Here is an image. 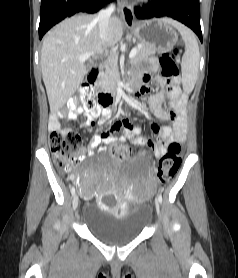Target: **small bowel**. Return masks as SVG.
Segmentation results:
<instances>
[{"label":"small bowel","instance_id":"c3829d8e","mask_svg":"<svg viewBox=\"0 0 238 278\" xmlns=\"http://www.w3.org/2000/svg\"><path fill=\"white\" fill-rule=\"evenodd\" d=\"M151 68L153 71L157 69L156 60H151ZM151 80L149 73H144L140 76L133 78L132 83L134 85L141 82L143 85L140 89L141 93H145L149 90L147 84ZM160 83H163L161 79H158ZM167 86V92L159 91L152 95L148 100V105L151 112L159 119L164 121L173 122L172 127H159L156 124L151 126V131L157 138H146L143 135L144 129L140 126L133 125L127 118H122L114 122L107 130L100 135H94L90 138L87 147L80 153L79 158L83 159L85 154L88 156L94 155L97 149L102 145H108L116 142H130L137 146H148L152 149L156 157L165 153V145L169 142H183L187 131L186 125V96L181 92L178 83L176 81L165 82ZM165 100L169 101L171 110H166L162 107ZM82 113L81 110H72L68 113V117L71 120H75L78 114ZM86 121L81 125L82 127H94L95 125L104 124L111 116V111L104 106H97L94 112H85ZM62 115L60 113H54L49 120V129L62 130L60 126V119ZM123 132L120 137H116L115 134ZM156 143V144H154ZM104 148H100L99 151H103ZM74 179L73 176L70 177ZM148 182L152 183V178L148 176Z\"/></svg>","mask_w":238,"mask_h":278}]
</instances>
